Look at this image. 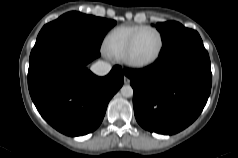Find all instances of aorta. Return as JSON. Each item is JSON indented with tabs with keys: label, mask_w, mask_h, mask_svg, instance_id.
I'll return each instance as SVG.
<instances>
[{
	"label": "aorta",
	"mask_w": 238,
	"mask_h": 158,
	"mask_svg": "<svg viewBox=\"0 0 238 158\" xmlns=\"http://www.w3.org/2000/svg\"><path fill=\"white\" fill-rule=\"evenodd\" d=\"M121 94L123 97H131L133 95V88L130 85H124L121 88Z\"/></svg>",
	"instance_id": "aorta-1"
}]
</instances>
